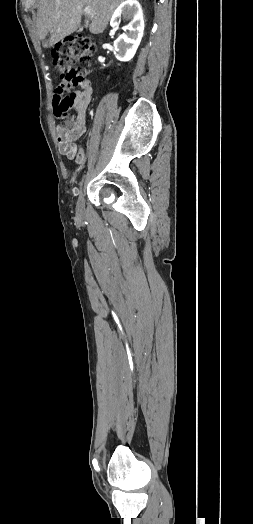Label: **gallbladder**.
I'll list each match as a JSON object with an SVG mask.
<instances>
[{"label": "gallbladder", "mask_w": 253, "mask_h": 524, "mask_svg": "<svg viewBox=\"0 0 253 524\" xmlns=\"http://www.w3.org/2000/svg\"><path fill=\"white\" fill-rule=\"evenodd\" d=\"M82 30H83V26H80V27H79V31H82Z\"/></svg>", "instance_id": "obj_1"}]
</instances>
